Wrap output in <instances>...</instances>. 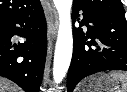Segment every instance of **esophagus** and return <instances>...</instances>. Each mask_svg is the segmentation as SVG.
I'll list each match as a JSON object with an SVG mask.
<instances>
[{"mask_svg": "<svg viewBox=\"0 0 127 92\" xmlns=\"http://www.w3.org/2000/svg\"><path fill=\"white\" fill-rule=\"evenodd\" d=\"M47 5V37L51 42L57 34L58 29V14L52 0H46Z\"/></svg>", "mask_w": 127, "mask_h": 92, "instance_id": "1", "label": "esophagus"}]
</instances>
